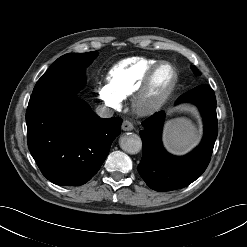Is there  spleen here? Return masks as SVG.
<instances>
[{
  "label": "spleen",
  "instance_id": "spleen-1",
  "mask_svg": "<svg viewBox=\"0 0 247 247\" xmlns=\"http://www.w3.org/2000/svg\"><path fill=\"white\" fill-rule=\"evenodd\" d=\"M198 142L199 134L191 120L175 118L166 123L163 131V144L170 153L185 154Z\"/></svg>",
  "mask_w": 247,
  "mask_h": 247
}]
</instances>
